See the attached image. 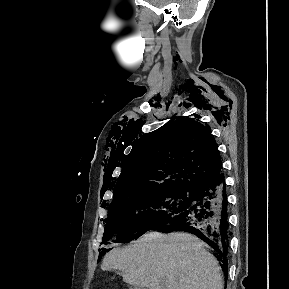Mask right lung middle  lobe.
<instances>
[{
	"mask_svg": "<svg viewBox=\"0 0 289 289\" xmlns=\"http://www.w3.org/2000/svg\"><path fill=\"white\" fill-rule=\"evenodd\" d=\"M191 198L187 189H167L137 195L109 206L102 244L115 238L116 243L140 237L148 230L177 216Z\"/></svg>",
	"mask_w": 289,
	"mask_h": 289,
	"instance_id": "dd1d6c3e",
	"label": "right lung middle lobe"
}]
</instances>
